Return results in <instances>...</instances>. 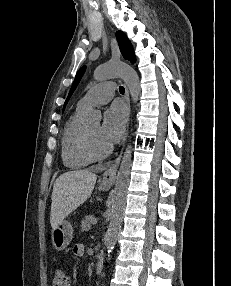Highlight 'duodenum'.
Returning <instances> with one entry per match:
<instances>
[{"label":"duodenum","instance_id":"duodenum-1","mask_svg":"<svg viewBox=\"0 0 231 286\" xmlns=\"http://www.w3.org/2000/svg\"><path fill=\"white\" fill-rule=\"evenodd\" d=\"M103 265H104V258H103V255L100 254V255H98L97 261H96V267H95L96 274H101L102 273Z\"/></svg>","mask_w":231,"mask_h":286}]
</instances>
